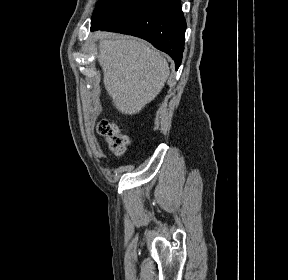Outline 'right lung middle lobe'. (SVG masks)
I'll return each instance as SVG.
<instances>
[{
	"label": "right lung middle lobe",
	"instance_id": "dd1d6c3e",
	"mask_svg": "<svg viewBox=\"0 0 288 280\" xmlns=\"http://www.w3.org/2000/svg\"><path fill=\"white\" fill-rule=\"evenodd\" d=\"M120 0H98L96 8L93 12L91 20H94L96 17H98L99 14H101L106 8L113 5L114 3L118 2Z\"/></svg>",
	"mask_w": 288,
	"mask_h": 280
}]
</instances>
